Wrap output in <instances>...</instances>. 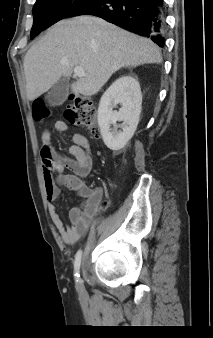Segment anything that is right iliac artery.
<instances>
[{
  "label": "right iliac artery",
  "instance_id": "82829eb1",
  "mask_svg": "<svg viewBox=\"0 0 213 338\" xmlns=\"http://www.w3.org/2000/svg\"><path fill=\"white\" fill-rule=\"evenodd\" d=\"M81 256H82V252L81 251H78L76 253V256H75V261H74V271H75V278H76V282H79L80 281V265H81Z\"/></svg>",
  "mask_w": 213,
  "mask_h": 338
}]
</instances>
